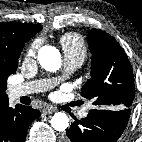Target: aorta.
Returning <instances> with one entry per match:
<instances>
[{"mask_svg":"<svg viewBox=\"0 0 142 142\" xmlns=\"http://www.w3.org/2000/svg\"><path fill=\"white\" fill-rule=\"evenodd\" d=\"M38 61L47 71H57L61 66L60 52L57 48L45 45L38 51ZM51 125L56 131H64L69 126V118L65 113H55L51 118Z\"/></svg>","mask_w":142,"mask_h":142,"instance_id":"aorta-1","label":"aorta"}]
</instances>
